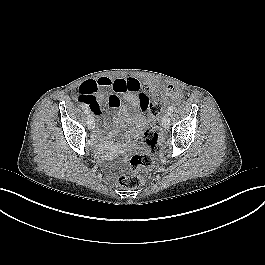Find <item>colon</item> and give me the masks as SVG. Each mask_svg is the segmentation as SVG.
<instances>
[{"label":"colon","mask_w":265,"mask_h":265,"mask_svg":"<svg viewBox=\"0 0 265 265\" xmlns=\"http://www.w3.org/2000/svg\"><path fill=\"white\" fill-rule=\"evenodd\" d=\"M177 91L174 87H168L156 93L151 101L150 109L158 112L169 98L176 96ZM141 144L151 152L158 148V136L151 130H145L141 137ZM154 158L151 153H139L132 156L129 171L118 177V184L123 188L134 189L143 183L147 172L152 168Z\"/></svg>","instance_id":"colon-1"}]
</instances>
